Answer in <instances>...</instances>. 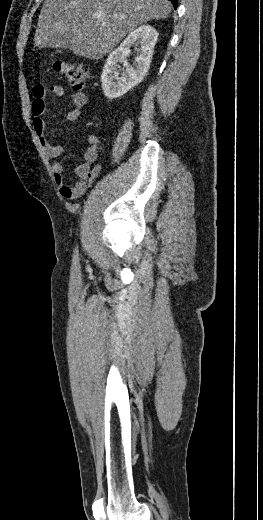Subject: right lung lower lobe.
<instances>
[{"mask_svg":"<svg viewBox=\"0 0 263 520\" xmlns=\"http://www.w3.org/2000/svg\"><path fill=\"white\" fill-rule=\"evenodd\" d=\"M174 6V8L176 9L177 8V3H178V0H170Z\"/></svg>","mask_w":263,"mask_h":520,"instance_id":"obj_1","label":"right lung lower lobe"}]
</instances>
